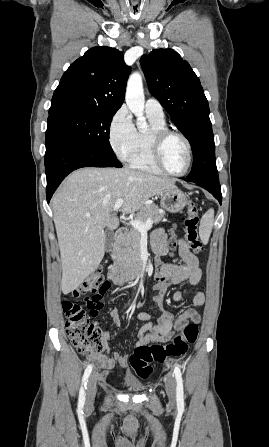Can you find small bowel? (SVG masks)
<instances>
[{
  "mask_svg": "<svg viewBox=\"0 0 269 447\" xmlns=\"http://www.w3.org/2000/svg\"><path fill=\"white\" fill-rule=\"evenodd\" d=\"M152 246L157 255H164L167 252V236L163 229H156L152 234ZM178 253L181 259L180 263L162 264L156 274L157 283L155 289L159 292L153 298L156 307L162 308L163 300L167 289L171 285H180L188 282L190 285H197L201 279V269L197 257L190 251L183 239L179 240ZM187 295L192 297L195 306H202L205 296L199 291H190L187 289L175 291L172 295L174 302H181ZM110 317L116 325H120V312L118 309L110 311ZM137 318L147 321L138 333V344L144 345L153 341L167 342L171 338L172 327L179 329L187 326L186 321L198 323L200 316L192 308L185 309L177 317L166 310H162L156 321L151 320V315L146 312L137 314ZM104 353H95L91 355L92 361L103 369H112L115 365L125 368L128 365L127 356L121 355L116 351H110L107 341L110 338V332L104 331Z\"/></svg>",
  "mask_w": 269,
  "mask_h": 447,
  "instance_id": "obj_1",
  "label": "small bowel"
}]
</instances>
